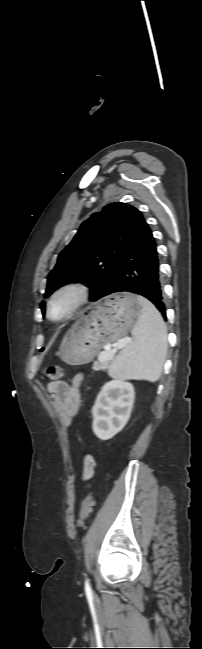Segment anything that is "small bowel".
<instances>
[{
  "mask_svg": "<svg viewBox=\"0 0 202 649\" xmlns=\"http://www.w3.org/2000/svg\"><path fill=\"white\" fill-rule=\"evenodd\" d=\"M82 381L83 376L77 374L73 377L70 384L64 381H53L47 386L51 394L52 406L67 428L71 426L73 417L78 412L81 404L80 386ZM94 469V458L91 455L86 456L84 460L83 479H91L94 474Z\"/></svg>",
  "mask_w": 202,
  "mask_h": 649,
  "instance_id": "1",
  "label": "small bowel"
}]
</instances>
